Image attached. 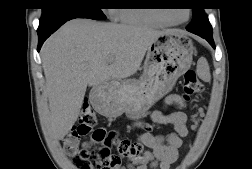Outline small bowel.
<instances>
[{
	"label": "small bowel",
	"instance_id": "small-bowel-1",
	"mask_svg": "<svg viewBox=\"0 0 252 169\" xmlns=\"http://www.w3.org/2000/svg\"><path fill=\"white\" fill-rule=\"evenodd\" d=\"M165 105L182 108L184 107V98L180 94H171L166 97ZM151 119L157 124L172 125L174 131L166 135L142 133L140 140L150 151H147L140 159L119 165L117 169H170L177 160L178 150L182 146V138L188 134L186 114L181 110L169 114L155 110L151 113ZM142 124V121H136L134 126L139 128ZM92 141L98 143L94 135Z\"/></svg>",
	"mask_w": 252,
	"mask_h": 169
}]
</instances>
